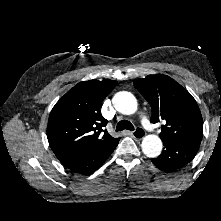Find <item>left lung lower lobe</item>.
I'll list each match as a JSON object with an SVG mask.
<instances>
[{
	"label": "left lung lower lobe",
	"mask_w": 221,
	"mask_h": 221,
	"mask_svg": "<svg viewBox=\"0 0 221 221\" xmlns=\"http://www.w3.org/2000/svg\"><path fill=\"white\" fill-rule=\"evenodd\" d=\"M201 139L163 142L162 153L151 161L162 171L173 172L188 164L196 155Z\"/></svg>",
	"instance_id": "1"
}]
</instances>
